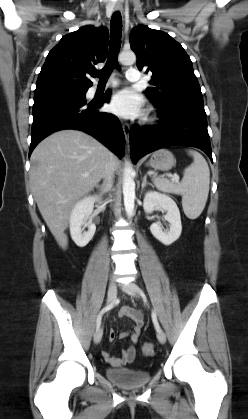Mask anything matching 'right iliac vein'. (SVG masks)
<instances>
[{
	"label": "right iliac vein",
	"instance_id": "right-iliac-vein-1",
	"mask_svg": "<svg viewBox=\"0 0 248 419\" xmlns=\"http://www.w3.org/2000/svg\"><path fill=\"white\" fill-rule=\"evenodd\" d=\"M116 296H117V286L114 281H111L109 283L108 292H107L108 304H112L115 301ZM102 335H103V329L99 327L98 329H96L94 333V337H93L95 344H98L101 341Z\"/></svg>",
	"mask_w": 248,
	"mask_h": 419
}]
</instances>
